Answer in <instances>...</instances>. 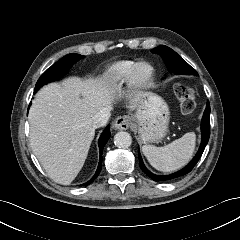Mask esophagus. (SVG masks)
<instances>
[{
	"instance_id": "1",
	"label": "esophagus",
	"mask_w": 240,
	"mask_h": 240,
	"mask_svg": "<svg viewBox=\"0 0 240 240\" xmlns=\"http://www.w3.org/2000/svg\"><path fill=\"white\" fill-rule=\"evenodd\" d=\"M130 124H131L130 116H119L113 121L112 128L114 130H127Z\"/></svg>"
}]
</instances>
